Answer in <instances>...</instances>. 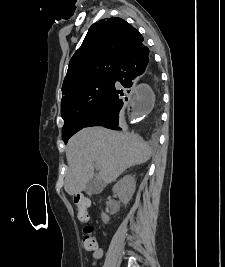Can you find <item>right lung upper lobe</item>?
Segmentation results:
<instances>
[{"label":"right lung upper lobe","mask_w":225,"mask_h":267,"mask_svg":"<svg viewBox=\"0 0 225 267\" xmlns=\"http://www.w3.org/2000/svg\"><path fill=\"white\" fill-rule=\"evenodd\" d=\"M143 40L138 30L121 18L93 24L70 60L62 93L89 80L114 74L122 55Z\"/></svg>","instance_id":"right-lung-upper-lobe-1"}]
</instances>
